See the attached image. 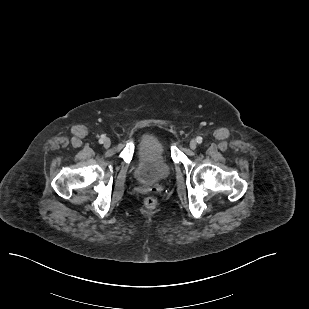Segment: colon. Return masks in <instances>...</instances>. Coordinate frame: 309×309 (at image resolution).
Masks as SVG:
<instances>
[{
	"mask_svg": "<svg viewBox=\"0 0 309 309\" xmlns=\"http://www.w3.org/2000/svg\"><path fill=\"white\" fill-rule=\"evenodd\" d=\"M144 205L148 209H154L157 205V200L154 197H147L144 200Z\"/></svg>",
	"mask_w": 309,
	"mask_h": 309,
	"instance_id": "colon-1",
	"label": "colon"
}]
</instances>
